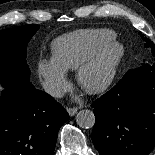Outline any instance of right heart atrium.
Here are the masks:
<instances>
[{
    "mask_svg": "<svg viewBox=\"0 0 155 155\" xmlns=\"http://www.w3.org/2000/svg\"><path fill=\"white\" fill-rule=\"evenodd\" d=\"M38 74L43 87L52 96H61L68 87L67 72L53 58L40 59L37 64Z\"/></svg>",
    "mask_w": 155,
    "mask_h": 155,
    "instance_id": "1",
    "label": "right heart atrium"
}]
</instances>
